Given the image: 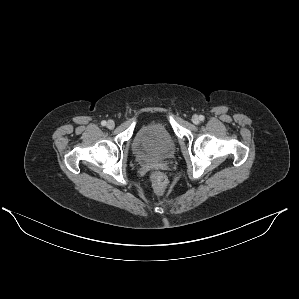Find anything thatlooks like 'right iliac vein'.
I'll use <instances>...</instances> for the list:
<instances>
[{"mask_svg":"<svg viewBox=\"0 0 299 299\" xmlns=\"http://www.w3.org/2000/svg\"><path fill=\"white\" fill-rule=\"evenodd\" d=\"M106 126H107V128H109V129H113L114 126H115V123H114V121L109 120V121L107 122Z\"/></svg>","mask_w":299,"mask_h":299,"instance_id":"right-iliac-vein-1","label":"right iliac vein"}]
</instances>
